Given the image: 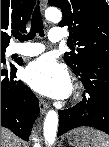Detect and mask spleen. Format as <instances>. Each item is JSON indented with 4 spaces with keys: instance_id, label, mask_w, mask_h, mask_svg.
Wrapping results in <instances>:
<instances>
[{
    "instance_id": "3e777b00",
    "label": "spleen",
    "mask_w": 109,
    "mask_h": 147,
    "mask_svg": "<svg viewBox=\"0 0 109 147\" xmlns=\"http://www.w3.org/2000/svg\"><path fill=\"white\" fill-rule=\"evenodd\" d=\"M97 131V130H96ZM93 147H109V137L107 134L97 131L93 138Z\"/></svg>"
}]
</instances>
